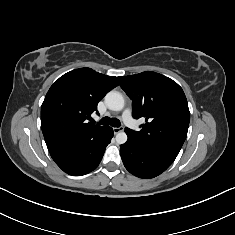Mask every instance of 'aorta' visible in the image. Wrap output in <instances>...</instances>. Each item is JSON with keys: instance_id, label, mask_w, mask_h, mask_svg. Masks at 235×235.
<instances>
[{"instance_id": "aorta-1", "label": "aorta", "mask_w": 235, "mask_h": 235, "mask_svg": "<svg viewBox=\"0 0 235 235\" xmlns=\"http://www.w3.org/2000/svg\"><path fill=\"white\" fill-rule=\"evenodd\" d=\"M105 104L112 111H121L124 108V98L118 91H110L105 96ZM127 141V134L119 132L116 135V142L124 144Z\"/></svg>"}]
</instances>
